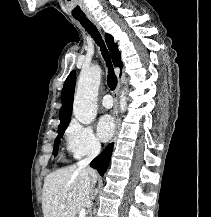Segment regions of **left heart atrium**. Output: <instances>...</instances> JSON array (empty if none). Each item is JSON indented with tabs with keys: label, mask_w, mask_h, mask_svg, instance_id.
<instances>
[{
	"label": "left heart atrium",
	"mask_w": 211,
	"mask_h": 217,
	"mask_svg": "<svg viewBox=\"0 0 211 217\" xmlns=\"http://www.w3.org/2000/svg\"><path fill=\"white\" fill-rule=\"evenodd\" d=\"M114 133V123L109 115L102 116L97 124V134L102 141H108Z\"/></svg>",
	"instance_id": "obj_1"
}]
</instances>
